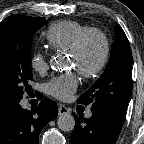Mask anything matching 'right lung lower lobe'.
Segmentation results:
<instances>
[{
  "mask_svg": "<svg viewBox=\"0 0 144 144\" xmlns=\"http://www.w3.org/2000/svg\"><path fill=\"white\" fill-rule=\"evenodd\" d=\"M58 114L56 103L43 99L35 110L19 103L0 115V144H38L39 133Z\"/></svg>",
  "mask_w": 144,
  "mask_h": 144,
  "instance_id": "1",
  "label": "right lung lower lobe"
}]
</instances>
